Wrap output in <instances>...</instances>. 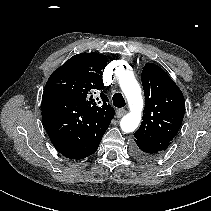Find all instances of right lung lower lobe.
I'll list each match as a JSON object with an SVG mask.
<instances>
[{
  "label": "right lung lower lobe",
  "mask_w": 211,
  "mask_h": 211,
  "mask_svg": "<svg viewBox=\"0 0 211 211\" xmlns=\"http://www.w3.org/2000/svg\"><path fill=\"white\" fill-rule=\"evenodd\" d=\"M81 116V106L75 99L43 92L42 119L46 132L56 150L70 159L79 160L95 153L109 126Z\"/></svg>",
  "instance_id": "1"
}]
</instances>
